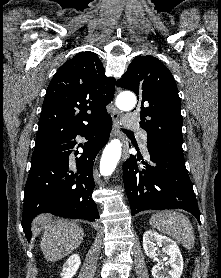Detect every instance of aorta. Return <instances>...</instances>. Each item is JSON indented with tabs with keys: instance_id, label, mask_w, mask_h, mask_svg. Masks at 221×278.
Segmentation results:
<instances>
[{
	"instance_id": "aorta-1",
	"label": "aorta",
	"mask_w": 221,
	"mask_h": 278,
	"mask_svg": "<svg viewBox=\"0 0 221 278\" xmlns=\"http://www.w3.org/2000/svg\"><path fill=\"white\" fill-rule=\"evenodd\" d=\"M117 106L122 110H131L136 104V98L133 94L120 95L116 100ZM122 143L118 139L112 140L104 149L100 161V173L103 176L112 174L121 157Z\"/></svg>"
}]
</instances>
